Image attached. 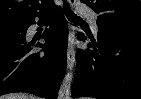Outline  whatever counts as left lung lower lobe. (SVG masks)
<instances>
[{"instance_id": "1", "label": "left lung lower lobe", "mask_w": 141, "mask_h": 99, "mask_svg": "<svg viewBox=\"0 0 141 99\" xmlns=\"http://www.w3.org/2000/svg\"><path fill=\"white\" fill-rule=\"evenodd\" d=\"M97 25L98 43L88 47L99 49L77 52L72 97L141 99V29Z\"/></svg>"}]
</instances>
